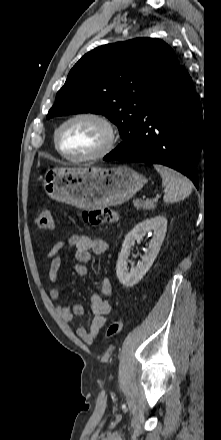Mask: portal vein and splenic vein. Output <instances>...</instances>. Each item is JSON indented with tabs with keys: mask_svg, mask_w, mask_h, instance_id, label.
<instances>
[{
	"mask_svg": "<svg viewBox=\"0 0 221 440\" xmlns=\"http://www.w3.org/2000/svg\"><path fill=\"white\" fill-rule=\"evenodd\" d=\"M159 199V194H156V196L153 198V201L156 202Z\"/></svg>",
	"mask_w": 221,
	"mask_h": 440,
	"instance_id": "1",
	"label": "portal vein and splenic vein"
}]
</instances>
